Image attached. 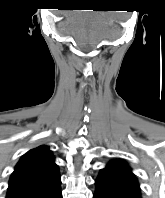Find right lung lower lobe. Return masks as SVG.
<instances>
[{"label":"right lung lower lobe","mask_w":165,"mask_h":198,"mask_svg":"<svg viewBox=\"0 0 165 198\" xmlns=\"http://www.w3.org/2000/svg\"><path fill=\"white\" fill-rule=\"evenodd\" d=\"M46 198H62L60 188L56 190L54 193H52L51 195L47 196Z\"/></svg>","instance_id":"1"}]
</instances>
